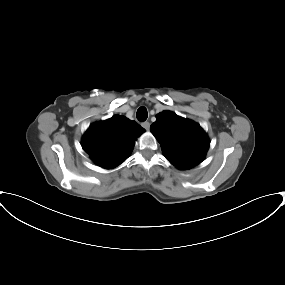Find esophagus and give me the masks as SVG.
Segmentation results:
<instances>
[{
    "label": "esophagus",
    "instance_id": "esophagus-1",
    "mask_svg": "<svg viewBox=\"0 0 285 285\" xmlns=\"http://www.w3.org/2000/svg\"><path fill=\"white\" fill-rule=\"evenodd\" d=\"M142 126H143L146 130H149V128H150V123H149V122H144V123H142Z\"/></svg>",
    "mask_w": 285,
    "mask_h": 285
}]
</instances>
